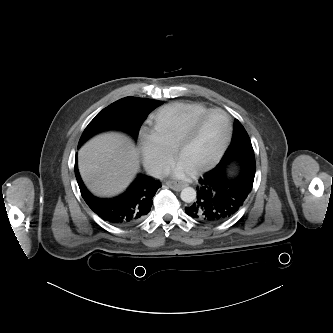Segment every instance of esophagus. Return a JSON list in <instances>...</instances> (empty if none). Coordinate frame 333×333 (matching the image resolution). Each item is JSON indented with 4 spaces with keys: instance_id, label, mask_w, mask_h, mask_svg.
<instances>
[{
    "instance_id": "1",
    "label": "esophagus",
    "mask_w": 333,
    "mask_h": 333,
    "mask_svg": "<svg viewBox=\"0 0 333 333\" xmlns=\"http://www.w3.org/2000/svg\"><path fill=\"white\" fill-rule=\"evenodd\" d=\"M167 184V186L169 187V188H171L172 190H174V191H180V190H182L185 186H187V184H185V183H182V182H167L166 183Z\"/></svg>"
}]
</instances>
